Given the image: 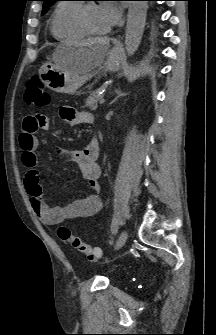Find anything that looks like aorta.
Wrapping results in <instances>:
<instances>
[{
	"mask_svg": "<svg viewBox=\"0 0 216 335\" xmlns=\"http://www.w3.org/2000/svg\"><path fill=\"white\" fill-rule=\"evenodd\" d=\"M147 9L146 1L130 2L125 32V48L129 56L133 55L140 45L146 24Z\"/></svg>",
	"mask_w": 216,
	"mask_h": 335,
	"instance_id": "aorta-1",
	"label": "aorta"
}]
</instances>
